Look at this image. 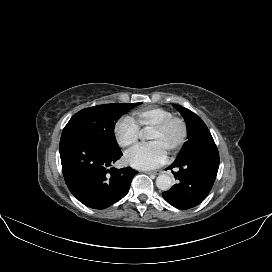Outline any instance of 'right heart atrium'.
Segmentation results:
<instances>
[{"instance_id":"d8ad5b80","label":"right heart atrium","mask_w":272,"mask_h":272,"mask_svg":"<svg viewBox=\"0 0 272 272\" xmlns=\"http://www.w3.org/2000/svg\"><path fill=\"white\" fill-rule=\"evenodd\" d=\"M114 136L120 147L131 150L138 144L140 131L131 119L123 117L115 123Z\"/></svg>"}]
</instances>
